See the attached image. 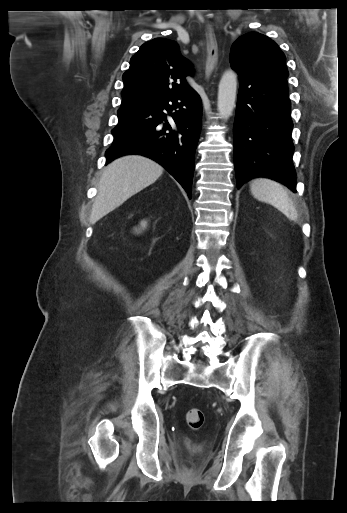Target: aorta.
I'll use <instances>...</instances> for the list:
<instances>
[{
  "mask_svg": "<svg viewBox=\"0 0 347 513\" xmlns=\"http://www.w3.org/2000/svg\"><path fill=\"white\" fill-rule=\"evenodd\" d=\"M237 91V75L233 70H227L219 83L218 88V112L221 117L228 118L235 108Z\"/></svg>",
  "mask_w": 347,
  "mask_h": 513,
  "instance_id": "1",
  "label": "aorta"
}]
</instances>
